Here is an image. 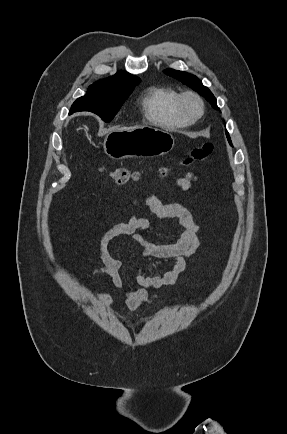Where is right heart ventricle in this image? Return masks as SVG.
I'll return each instance as SVG.
<instances>
[{"label":"right heart ventricle","instance_id":"right-heart-ventricle-1","mask_svg":"<svg viewBox=\"0 0 287 434\" xmlns=\"http://www.w3.org/2000/svg\"><path fill=\"white\" fill-rule=\"evenodd\" d=\"M178 92L172 88L153 86L150 87L144 98L143 108L146 117L153 123L182 127L191 122L183 117L177 109Z\"/></svg>","mask_w":287,"mask_h":434}]
</instances>
